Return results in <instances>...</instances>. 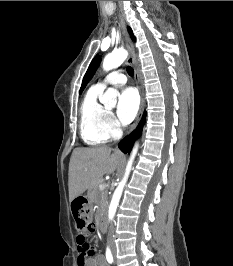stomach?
<instances>
[{"instance_id": "0dacf381", "label": "stomach", "mask_w": 233, "mask_h": 266, "mask_svg": "<svg viewBox=\"0 0 233 266\" xmlns=\"http://www.w3.org/2000/svg\"><path fill=\"white\" fill-rule=\"evenodd\" d=\"M89 204H91L90 196H74L73 204H71V209H73L75 231L76 232H87L91 225H94V220H91L89 212Z\"/></svg>"}]
</instances>
